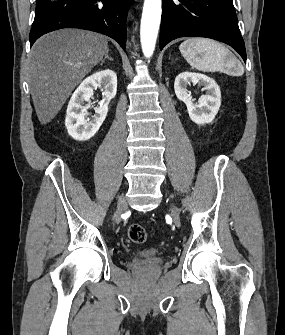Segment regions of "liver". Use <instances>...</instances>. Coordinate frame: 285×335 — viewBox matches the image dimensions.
Listing matches in <instances>:
<instances>
[{"label":"liver","instance_id":"6515ba94","mask_svg":"<svg viewBox=\"0 0 285 335\" xmlns=\"http://www.w3.org/2000/svg\"><path fill=\"white\" fill-rule=\"evenodd\" d=\"M108 52L107 38L88 30H58L35 42L27 76L41 124L57 116L76 86Z\"/></svg>","mask_w":285,"mask_h":335}]
</instances>
